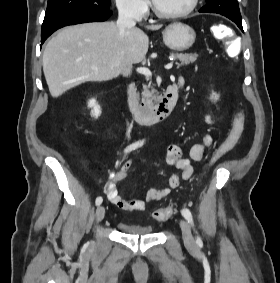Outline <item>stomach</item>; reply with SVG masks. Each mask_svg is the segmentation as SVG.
<instances>
[{"label": "stomach", "instance_id": "0dacf381", "mask_svg": "<svg viewBox=\"0 0 280 283\" xmlns=\"http://www.w3.org/2000/svg\"><path fill=\"white\" fill-rule=\"evenodd\" d=\"M165 45L173 51H185L195 42L196 33L189 25L174 22L163 31Z\"/></svg>", "mask_w": 280, "mask_h": 283}]
</instances>
